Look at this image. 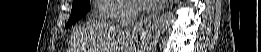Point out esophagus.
Wrapping results in <instances>:
<instances>
[{
	"mask_svg": "<svg viewBox=\"0 0 261 52\" xmlns=\"http://www.w3.org/2000/svg\"><path fill=\"white\" fill-rule=\"evenodd\" d=\"M166 4H167V0L164 1L163 5H161L159 9L153 10L150 14L146 15L145 18H140V20L137 21L130 29L132 36L138 38L146 34L152 22L156 19L160 10L164 9Z\"/></svg>",
	"mask_w": 261,
	"mask_h": 52,
	"instance_id": "34e87169",
	"label": "esophagus"
}]
</instances>
